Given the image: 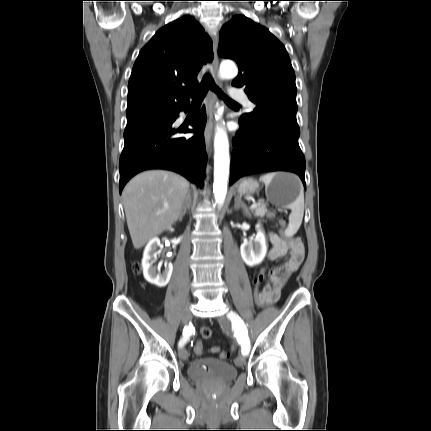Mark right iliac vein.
<instances>
[{
	"label": "right iliac vein",
	"mask_w": 431,
	"mask_h": 431,
	"mask_svg": "<svg viewBox=\"0 0 431 431\" xmlns=\"http://www.w3.org/2000/svg\"><path fill=\"white\" fill-rule=\"evenodd\" d=\"M192 314L189 308H186L182 314V325L183 326H187L191 320ZM179 357L183 360L186 361L189 357V353L188 351L184 348L181 347L179 350Z\"/></svg>",
	"instance_id": "63e3f726"
}]
</instances>
